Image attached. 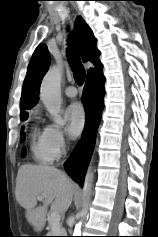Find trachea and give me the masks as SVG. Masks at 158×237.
<instances>
[{"mask_svg":"<svg viewBox=\"0 0 158 237\" xmlns=\"http://www.w3.org/2000/svg\"><path fill=\"white\" fill-rule=\"evenodd\" d=\"M67 58L69 65L73 71L74 79L78 85L84 83L85 70L81 64L80 58L73 46H69L67 49Z\"/></svg>","mask_w":158,"mask_h":237,"instance_id":"obj_1","label":"trachea"}]
</instances>
